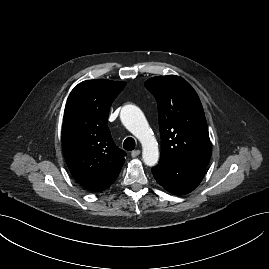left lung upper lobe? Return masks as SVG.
Returning <instances> with one entry per match:
<instances>
[{"instance_id": "1", "label": "left lung upper lobe", "mask_w": 269, "mask_h": 269, "mask_svg": "<svg viewBox=\"0 0 269 269\" xmlns=\"http://www.w3.org/2000/svg\"><path fill=\"white\" fill-rule=\"evenodd\" d=\"M145 87L158 103L160 157L207 167L211 145L204 111L192 86L176 75L157 76Z\"/></svg>"}]
</instances>
